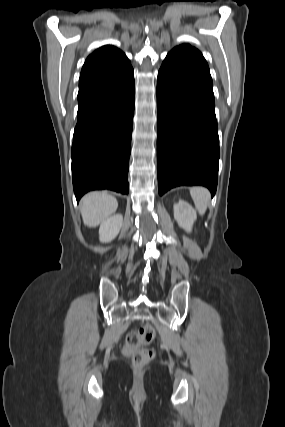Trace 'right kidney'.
I'll return each instance as SVG.
<instances>
[{
  "label": "right kidney",
  "mask_w": 285,
  "mask_h": 427,
  "mask_svg": "<svg viewBox=\"0 0 285 427\" xmlns=\"http://www.w3.org/2000/svg\"><path fill=\"white\" fill-rule=\"evenodd\" d=\"M122 224V214H114L108 217L100 225L99 240L103 243L111 242L120 232Z\"/></svg>",
  "instance_id": "1"
}]
</instances>
